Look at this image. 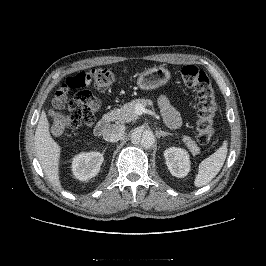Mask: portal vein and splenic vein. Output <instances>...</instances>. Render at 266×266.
<instances>
[{"mask_svg":"<svg viewBox=\"0 0 266 266\" xmlns=\"http://www.w3.org/2000/svg\"><path fill=\"white\" fill-rule=\"evenodd\" d=\"M135 113L137 114V115H141L142 113H147V114H149V115H154V116H156V114L154 113V112H152L151 110H147V109H145V107L142 105V104H137L136 106H135ZM157 117V116H156Z\"/></svg>","mask_w":266,"mask_h":266,"instance_id":"1","label":"portal vein and splenic vein"}]
</instances>
